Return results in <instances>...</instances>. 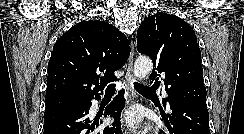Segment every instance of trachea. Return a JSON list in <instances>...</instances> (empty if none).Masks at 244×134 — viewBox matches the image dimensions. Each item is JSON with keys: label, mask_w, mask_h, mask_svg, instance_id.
Segmentation results:
<instances>
[{"label": "trachea", "mask_w": 244, "mask_h": 134, "mask_svg": "<svg viewBox=\"0 0 244 134\" xmlns=\"http://www.w3.org/2000/svg\"><path fill=\"white\" fill-rule=\"evenodd\" d=\"M134 88L139 93H141L143 95H155V91L151 90L148 87H145V86L141 85L138 82H134ZM115 90H116L115 84H110V85L107 86L105 93H107V94H113V93H115Z\"/></svg>", "instance_id": "3493384b"}]
</instances>
